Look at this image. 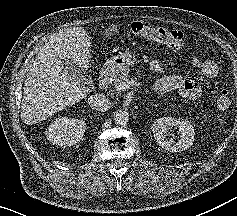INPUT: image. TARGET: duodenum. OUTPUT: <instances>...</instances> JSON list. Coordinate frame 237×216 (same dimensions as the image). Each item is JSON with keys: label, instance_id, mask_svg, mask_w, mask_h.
Instances as JSON below:
<instances>
[{"label": "duodenum", "instance_id": "1", "mask_svg": "<svg viewBox=\"0 0 237 216\" xmlns=\"http://www.w3.org/2000/svg\"><path fill=\"white\" fill-rule=\"evenodd\" d=\"M99 84L102 87H109L112 84V73L109 70H102L99 73Z\"/></svg>", "mask_w": 237, "mask_h": 216}]
</instances>
